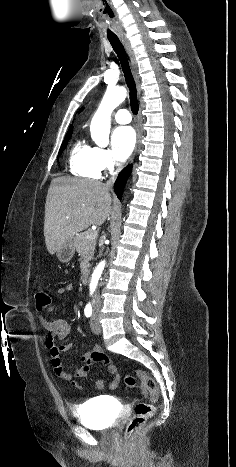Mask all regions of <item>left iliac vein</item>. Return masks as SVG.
<instances>
[{"label":"left iliac vein","instance_id":"left-iliac-vein-1","mask_svg":"<svg viewBox=\"0 0 236 467\" xmlns=\"http://www.w3.org/2000/svg\"><path fill=\"white\" fill-rule=\"evenodd\" d=\"M90 326L95 334H100L101 333V325L99 323V318H98V313L94 312L90 321Z\"/></svg>","mask_w":236,"mask_h":467}]
</instances>
